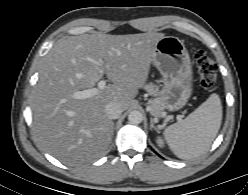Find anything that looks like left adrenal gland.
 <instances>
[{"label":"left adrenal gland","instance_id":"left-adrenal-gland-1","mask_svg":"<svg viewBox=\"0 0 248 195\" xmlns=\"http://www.w3.org/2000/svg\"><path fill=\"white\" fill-rule=\"evenodd\" d=\"M150 129L151 130L154 129V130H156L158 132L157 127L154 126V122H153V119L152 118L150 119Z\"/></svg>","mask_w":248,"mask_h":195}]
</instances>
